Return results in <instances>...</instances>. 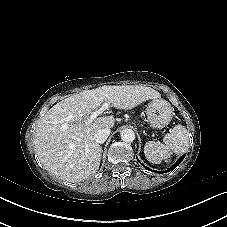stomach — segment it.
Masks as SVG:
<instances>
[{"instance_id":"stomach-1","label":"stomach","mask_w":227,"mask_h":227,"mask_svg":"<svg viewBox=\"0 0 227 227\" xmlns=\"http://www.w3.org/2000/svg\"><path fill=\"white\" fill-rule=\"evenodd\" d=\"M173 107L163 99L152 100L147 109V122L152 129H162L173 117Z\"/></svg>"}]
</instances>
